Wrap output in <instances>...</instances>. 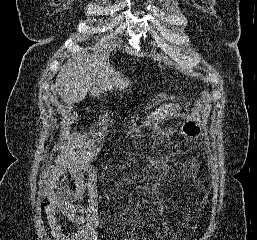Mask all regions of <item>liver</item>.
Segmentation results:
<instances>
[{
  "mask_svg": "<svg viewBox=\"0 0 257 240\" xmlns=\"http://www.w3.org/2000/svg\"><path fill=\"white\" fill-rule=\"evenodd\" d=\"M109 56L93 55L90 58L74 54L60 69L51 99L59 94L64 102L72 105L82 101L87 93L99 96L107 90L126 89L130 80L122 77V73L110 67Z\"/></svg>",
  "mask_w": 257,
  "mask_h": 240,
  "instance_id": "liver-1",
  "label": "liver"
}]
</instances>
